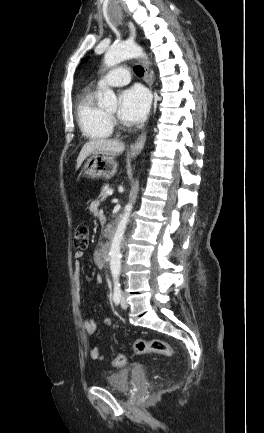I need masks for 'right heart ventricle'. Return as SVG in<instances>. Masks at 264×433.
Instances as JSON below:
<instances>
[{
  "mask_svg": "<svg viewBox=\"0 0 264 433\" xmlns=\"http://www.w3.org/2000/svg\"><path fill=\"white\" fill-rule=\"evenodd\" d=\"M97 93L86 90L82 92L76 103V119L85 137L100 140L112 135V123L106 113L97 103Z\"/></svg>",
  "mask_w": 264,
  "mask_h": 433,
  "instance_id": "e07e8e85",
  "label": "right heart ventricle"
}]
</instances>
